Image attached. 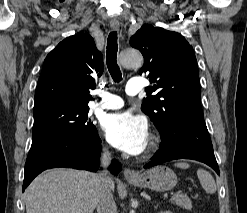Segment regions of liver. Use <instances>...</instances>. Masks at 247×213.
Returning a JSON list of instances; mask_svg holds the SVG:
<instances>
[{"label":"liver","instance_id":"1","mask_svg":"<svg viewBox=\"0 0 247 213\" xmlns=\"http://www.w3.org/2000/svg\"><path fill=\"white\" fill-rule=\"evenodd\" d=\"M98 174L56 168L43 172L25 191L26 213H93ZM115 185L112 180L111 190Z\"/></svg>","mask_w":247,"mask_h":213}]
</instances>
